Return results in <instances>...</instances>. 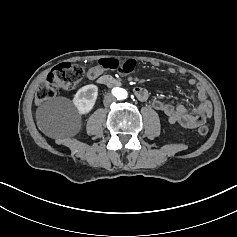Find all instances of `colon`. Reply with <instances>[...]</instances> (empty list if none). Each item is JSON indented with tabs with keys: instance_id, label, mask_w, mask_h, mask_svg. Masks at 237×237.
Masks as SVG:
<instances>
[{
	"instance_id": "5ec220e1",
	"label": "colon",
	"mask_w": 237,
	"mask_h": 237,
	"mask_svg": "<svg viewBox=\"0 0 237 237\" xmlns=\"http://www.w3.org/2000/svg\"><path fill=\"white\" fill-rule=\"evenodd\" d=\"M98 64L105 70H111L121 75L132 73L136 68L135 60L120 61L113 58L100 59ZM83 68L71 63H61L55 66L47 79L39 86L36 92V101L41 104L51 99L57 89L71 90L75 88L83 77ZM200 135L208 133V127L201 125L198 128Z\"/></svg>"
}]
</instances>
